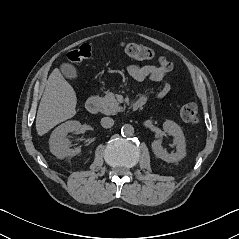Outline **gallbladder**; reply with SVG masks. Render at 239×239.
I'll list each match as a JSON object with an SVG mask.
<instances>
[{"label": "gallbladder", "mask_w": 239, "mask_h": 239, "mask_svg": "<svg viewBox=\"0 0 239 239\" xmlns=\"http://www.w3.org/2000/svg\"><path fill=\"white\" fill-rule=\"evenodd\" d=\"M60 69L62 74L68 79H75L77 77V70L72 64L63 63Z\"/></svg>", "instance_id": "1"}]
</instances>
